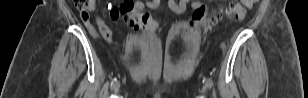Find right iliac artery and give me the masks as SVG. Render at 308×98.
I'll list each match as a JSON object with an SVG mask.
<instances>
[{"label":"right iliac artery","mask_w":308,"mask_h":98,"mask_svg":"<svg viewBox=\"0 0 308 98\" xmlns=\"http://www.w3.org/2000/svg\"><path fill=\"white\" fill-rule=\"evenodd\" d=\"M117 84V79H113L111 82V89Z\"/></svg>","instance_id":"right-iliac-artery-1"}]
</instances>
